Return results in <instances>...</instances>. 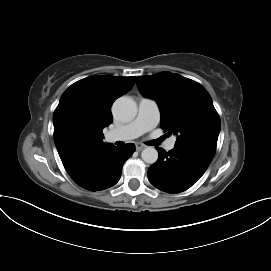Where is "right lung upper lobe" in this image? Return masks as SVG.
<instances>
[{
    "label": "right lung upper lobe",
    "instance_id": "1",
    "mask_svg": "<svg viewBox=\"0 0 271 271\" xmlns=\"http://www.w3.org/2000/svg\"><path fill=\"white\" fill-rule=\"evenodd\" d=\"M135 77L93 75L66 89L53 114L54 141L69 175L97 158L111 144L103 128L112 123L111 106L133 87Z\"/></svg>",
    "mask_w": 271,
    "mask_h": 271
}]
</instances>
